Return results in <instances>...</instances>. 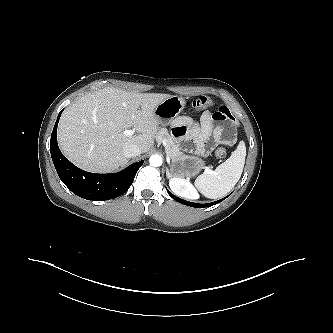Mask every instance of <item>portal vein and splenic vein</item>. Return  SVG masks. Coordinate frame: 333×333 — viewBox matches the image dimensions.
<instances>
[{
    "label": "portal vein and splenic vein",
    "mask_w": 333,
    "mask_h": 333,
    "mask_svg": "<svg viewBox=\"0 0 333 333\" xmlns=\"http://www.w3.org/2000/svg\"><path fill=\"white\" fill-rule=\"evenodd\" d=\"M123 133H124L125 136H131V135L134 134V130L128 129V130H125ZM205 172L206 173H211V170L208 169V168H205Z\"/></svg>",
    "instance_id": "portal-vein-and-splenic-vein-1"
}]
</instances>
